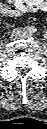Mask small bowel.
Returning <instances> with one entry per match:
<instances>
[{"label": "small bowel", "instance_id": "c3829d8e", "mask_svg": "<svg viewBox=\"0 0 47 129\" xmlns=\"http://www.w3.org/2000/svg\"><path fill=\"white\" fill-rule=\"evenodd\" d=\"M46 10V0H5L0 5V13L6 17H19L27 12Z\"/></svg>", "mask_w": 47, "mask_h": 129}]
</instances>
